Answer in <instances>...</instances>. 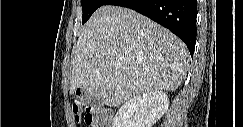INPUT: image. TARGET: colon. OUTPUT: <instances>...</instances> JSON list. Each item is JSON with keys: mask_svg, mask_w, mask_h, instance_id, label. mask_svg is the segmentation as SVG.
Masks as SVG:
<instances>
[{"mask_svg": "<svg viewBox=\"0 0 243 127\" xmlns=\"http://www.w3.org/2000/svg\"><path fill=\"white\" fill-rule=\"evenodd\" d=\"M72 111L77 123L84 121L91 127H105L108 121V111L84 101L81 95L72 99Z\"/></svg>", "mask_w": 243, "mask_h": 127, "instance_id": "colon-1", "label": "colon"}]
</instances>
